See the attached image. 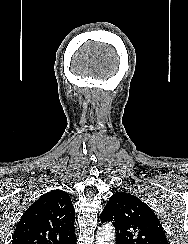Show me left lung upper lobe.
Masks as SVG:
<instances>
[{
    "label": "left lung upper lobe",
    "mask_w": 188,
    "mask_h": 244,
    "mask_svg": "<svg viewBox=\"0 0 188 244\" xmlns=\"http://www.w3.org/2000/svg\"><path fill=\"white\" fill-rule=\"evenodd\" d=\"M100 220L113 223L116 244H168L155 213L131 194H113L100 214Z\"/></svg>",
    "instance_id": "1"
}]
</instances>
